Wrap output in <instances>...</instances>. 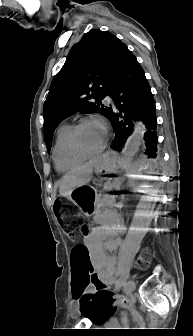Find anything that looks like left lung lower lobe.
I'll return each instance as SVG.
<instances>
[{
    "label": "left lung lower lobe",
    "instance_id": "left-lung-lower-lobe-1",
    "mask_svg": "<svg viewBox=\"0 0 193 336\" xmlns=\"http://www.w3.org/2000/svg\"><path fill=\"white\" fill-rule=\"evenodd\" d=\"M110 96L116 104L109 117L115 133L110 147L120 151L132 133L134 121L141 119L147 129L144 133L145 153L149 158H155L158 143L155 102L145 73L128 48L122 54Z\"/></svg>",
    "mask_w": 193,
    "mask_h": 336
}]
</instances>
